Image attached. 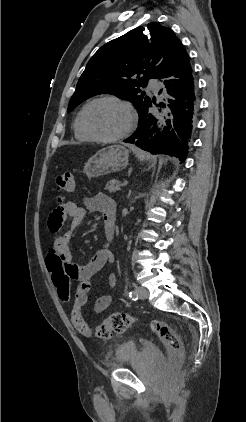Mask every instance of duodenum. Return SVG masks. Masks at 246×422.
Returning <instances> with one entry per match:
<instances>
[{
  "label": "duodenum",
  "instance_id": "duodenum-1",
  "mask_svg": "<svg viewBox=\"0 0 246 422\" xmlns=\"http://www.w3.org/2000/svg\"><path fill=\"white\" fill-rule=\"evenodd\" d=\"M105 230H106V236H107V238L109 240H112L113 237H114V226L111 225V224H109V223H107L106 224V227H105Z\"/></svg>",
  "mask_w": 246,
  "mask_h": 422
}]
</instances>
